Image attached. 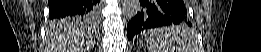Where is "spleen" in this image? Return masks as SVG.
<instances>
[{"mask_svg":"<svg viewBox=\"0 0 261 52\" xmlns=\"http://www.w3.org/2000/svg\"><path fill=\"white\" fill-rule=\"evenodd\" d=\"M184 31L186 32V29L182 26H170L150 31L149 50L151 52H181L191 40Z\"/></svg>","mask_w":261,"mask_h":52,"instance_id":"1","label":"spleen"}]
</instances>
